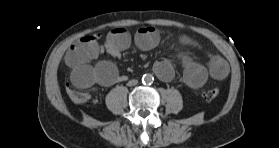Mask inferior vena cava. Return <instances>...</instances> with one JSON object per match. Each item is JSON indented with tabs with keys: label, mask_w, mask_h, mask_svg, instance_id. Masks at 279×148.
<instances>
[{
	"label": "inferior vena cava",
	"mask_w": 279,
	"mask_h": 148,
	"mask_svg": "<svg viewBox=\"0 0 279 148\" xmlns=\"http://www.w3.org/2000/svg\"><path fill=\"white\" fill-rule=\"evenodd\" d=\"M137 84H138V80H136V79L130 80V81L127 83L128 86H135V85H137Z\"/></svg>",
	"instance_id": "obj_1"
}]
</instances>
